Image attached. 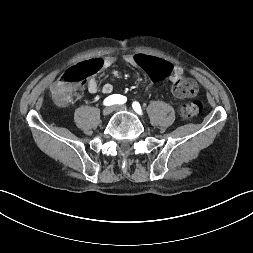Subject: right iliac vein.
Returning <instances> with one entry per match:
<instances>
[{"label":"right iliac vein","instance_id":"right-iliac-vein-1","mask_svg":"<svg viewBox=\"0 0 253 253\" xmlns=\"http://www.w3.org/2000/svg\"><path fill=\"white\" fill-rule=\"evenodd\" d=\"M112 111H113V107L108 106L103 109L102 114L103 116H108L112 113Z\"/></svg>","mask_w":253,"mask_h":253}]
</instances>
